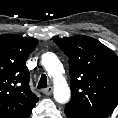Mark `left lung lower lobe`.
Wrapping results in <instances>:
<instances>
[{"mask_svg": "<svg viewBox=\"0 0 118 118\" xmlns=\"http://www.w3.org/2000/svg\"><path fill=\"white\" fill-rule=\"evenodd\" d=\"M65 114L68 118H85V117L74 115V114H71V113H68V112H65Z\"/></svg>", "mask_w": 118, "mask_h": 118, "instance_id": "0a47b994", "label": "left lung lower lobe"}]
</instances>
